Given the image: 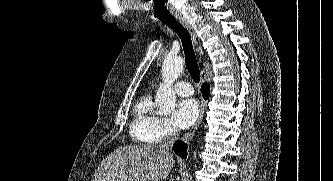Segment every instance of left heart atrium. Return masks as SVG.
<instances>
[{
  "instance_id": "obj_1",
  "label": "left heart atrium",
  "mask_w": 333,
  "mask_h": 181,
  "mask_svg": "<svg viewBox=\"0 0 333 181\" xmlns=\"http://www.w3.org/2000/svg\"><path fill=\"white\" fill-rule=\"evenodd\" d=\"M198 115V102L194 99H183L176 106L173 120L179 128L186 129L196 122Z\"/></svg>"
}]
</instances>
